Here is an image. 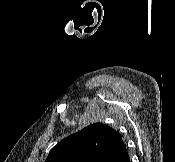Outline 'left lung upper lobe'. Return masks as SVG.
Listing matches in <instances>:
<instances>
[{"label":"left lung upper lobe","instance_id":"left-lung-upper-lobe-1","mask_svg":"<svg viewBox=\"0 0 175 162\" xmlns=\"http://www.w3.org/2000/svg\"><path fill=\"white\" fill-rule=\"evenodd\" d=\"M122 137L106 124H91L61 140L45 162H105L122 143Z\"/></svg>","mask_w":175,"mask_h":162}]
</instances>
